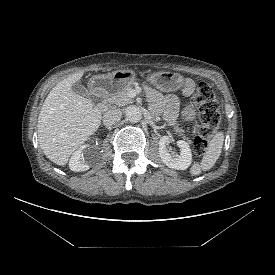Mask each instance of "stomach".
I'll return each instance as SVG.
<instances>
[{
  "instance_id": "stomach-1",
  "label": "stomach",
  "mask_w": 275,
  "mask_h": 275,
  "mask_svg": "<svg viewBox=\"0 0 275 275\" xmlns=\"http://www.w3.org/2000/svg\"><path fill=\"white\" fill-rule=\"evenodd\" d=\"M135 78L136 74L132 70H117L111 74L93 76L89 81V85L94 91L111 95L123 87L131 85ZM147 80L158 89L166 92L178 90L184 83L182 75L170 71L151 73L148 75ZM196 115L194 104L188 105L183 111L185 120H193Z\"/></svg>"
}]
</instances>
